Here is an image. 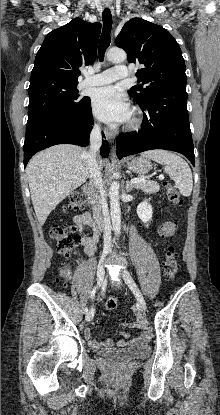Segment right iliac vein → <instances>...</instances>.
<instances>
[{
	"instance_id": "63e3f726",
	"label": "right iliac vein",
	"mask_w": 220,
	"mask_h": 415,
	"mask_svg": "<svg viewBox=\"0 0 220 415\" xmlns=\"http://www.w3.org/2000/svg\"><path fill=\"white\" fill-rule=\"evenodd\" d=\"M107 255V253H106ZM105 275V269H104V260H102L101 264H99L98 268H97V285L100 286L103 278ZM94 317V310L91 309L87 315H86V321L90 322Z\"/></svg>"
}]
</instances>
